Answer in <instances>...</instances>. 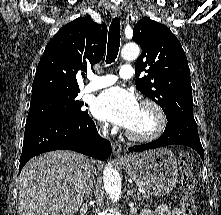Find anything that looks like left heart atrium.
<instances>
[{
  "instance_id": "39dd6f15",
  "label": "left heart atrium",
  "mask_w": 221,
  "mask_h": 215,
  "mask_svg": "<svg viewBox=\"0 0 221 215\" xmlns=\"http://www.w3.org/2000/svg\"><path fill=\"white\" fill-rule=\"evenodd\" d=\"M139 107L137 99L131 92L113 87L103 91L96 98L92 111L99 119L129 128L138 114Z\"/></svg>"
}]
</instances>
